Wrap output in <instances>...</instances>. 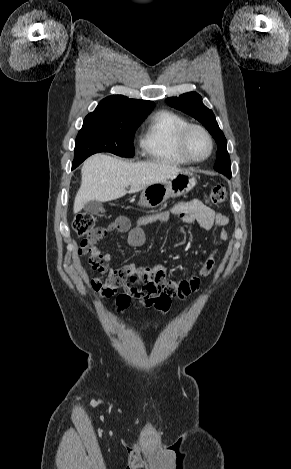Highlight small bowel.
I'll list each match as a JSON object with an SVG mask.
<instances>
[{
  "mask_svg": "<svg viewBox=\"0 0 291 469\" xmlns=\"http://www.w3.org/2000/svg\"><path fill=\"white\" fill-rule=\"evenodd\" d=\"M170 213L176 215L184 224L197 222L204 230H210L213 227L219 228V239L225 241L229 234L226 229L228 218L222 213L215 212L212 208L205 205L199 199H192L186 202H179L174 205ZM168 212L157 213L152 216L140 218L135 225L125 216L116 217L107 227L108 231H118L127 234L128 244L132 247H141L145 243L144 227L153 222H163L168 218ZM186 244L184 237L175 242V247H182ZM91 257H97L105 263V270L102 277H96L91 281L92 286L101 283L102 288L96 290L99 293V299L103 300L113 296L117 289L122 287L126 296H156L160 293H167L170 298L178 297L185 299L190 294L198 291L201 279L211 274L214 269V250L201 263L198 272L189 278L174 281L166 278V270L163 265H157L152 268L140 267L135 264H126L120 268H106V264L111 260V255L102 252L99 247L93 245L90 250ZM141 282L142 285L137 284ZM150 287L155 289L150 291Z\"/></svg>",
  "mask_w": 291,
  "mask_h": 469,
  "instance_id": "obj_1",
  "label": "small bowel"
}]
</instances>
